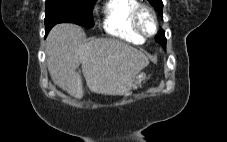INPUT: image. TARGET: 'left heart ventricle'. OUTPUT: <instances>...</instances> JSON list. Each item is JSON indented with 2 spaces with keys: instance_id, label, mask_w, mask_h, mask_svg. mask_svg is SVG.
I'll list each match as a JSON object with an SVG mask.
<instances>
[{
  "instance_id": "b2bd125f",
  "label": "left heart ventricle",
  "mask_w": 227,
  "mask_h": 142,
  "mask_svg": "<svg viewBox=\"0 0 227 142\" xmlns=\"http://www.w3.org/2000/svg\"><path fill=\"white\" fill-rule=\"evenodd\" d=\"M142 23L144 26V29L148 32L151 33L154 29L152 19L148 13L143 14L142 16Z\"/></svg>"
}]
</instances>
